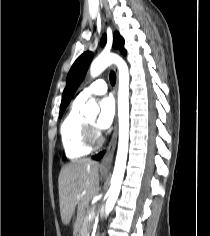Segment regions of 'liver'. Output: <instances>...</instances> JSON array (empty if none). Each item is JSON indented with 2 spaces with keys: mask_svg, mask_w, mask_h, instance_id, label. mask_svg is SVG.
<instances>
[{
  "mask_svg": "<svg viewBox=\"0 0 210 236\" xmlns=\"http://www.w3.org/2000/svg\"><path fill=\"white\" fill-rule=\"evenodd\" d=\"M59 203L62 222L68 225L77 208L74 231L80 230L85 209L99 191V164L89 159L65 165L59 174ZM77 196H81L80 199Z\"/></svg>",
  "mask_w": 210,
  "mask_h": 236,
  "instance_id": "liver-1",
  "label": "liver"
}]
</instances>
